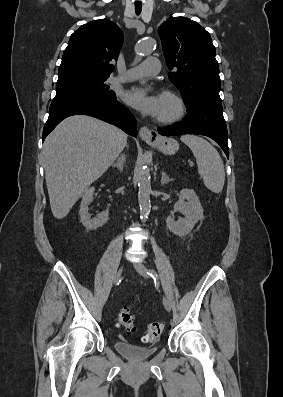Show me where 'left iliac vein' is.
Here are the masks:
<instances>
[{
    "mask_svg": "<svg viewBox=\"0 0 283 397\" xmlns=\"http://www.w3.org/2000/svg\"><path fill=\"white\" fill-rule=\"evenodd\" d=\"M133 265H134V268L137 270V272H138L140 275H142V276L145 277V278H149V274H148L147 268H146L142 263L136 262V263H134ZM163 305H164V307H165V309H166L167 311H170V310H171L170 302H169V300H168L167 298H165V297L163 298Z\"/></svg>",
    "mask_w": 283,
    "mask_h": 397,
    "instance_id": "4c4485c4",
    "label": "left iliac vein"
}]
</instances>
